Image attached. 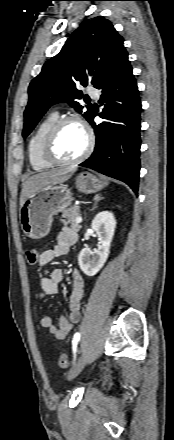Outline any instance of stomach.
Masks as SVG:
<instances>
[{"instance_id":"0dacf381","label":"stomach","mask_w":174,"mask_h":440,"mask_svg":"<svg viewBox=\"0 0 174 440\" xmlns=\"http://www.w3.org/2000/svg\"><path fill=\"white\" fill-rule=\"evenodd\" d=\"M76 188L86 194L100 191L108 182L95 175L82 172L75 179ZM72 192L68 185H49L28 197L20 208L23 232L32 239L45 237L51 228L53 216L65 211L71 204Z\"/></svg>"}]
</instances>
